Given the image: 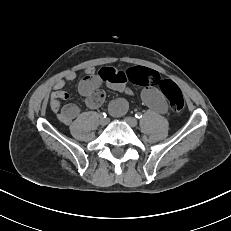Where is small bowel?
<instances>
[{"instance_id":"obj_1","label":"small bowel","mask_w":231,"mask_h":231,"mask_svg":"<svg viewBox=\"0 0 231 231\" xmlns=\"http://www.w3.org/2000/svg\"><path fill=\"white\" fill-rule=\"evenodd\" d=\"M84 72L85 76L78 84V91L84 98L86 106L90 109H96L103 104L105 100V93L101 89L103 84L128 96L133 94L127 86L128 79L126 72L123 70L110 67L96 70L88 67ZM75 78V72L66 73L53 84V90L50 94V109L65 125H70L80 114V110L75 104L61 106L62 100L69 99V94L64 90V87ZM141 99L150 109L156 112L165 113L168 110L165 96L155 87H145L141 91ZM127 108V102L124 99L115 100L110 104V112L115 116L123 115L127 111Z\"/></svg>"}]
</instances>
